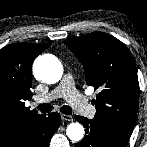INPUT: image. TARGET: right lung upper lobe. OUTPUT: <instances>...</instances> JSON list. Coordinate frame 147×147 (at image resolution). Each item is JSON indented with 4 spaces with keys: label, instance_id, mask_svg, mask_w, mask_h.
<instances>
[{
    "label": "right lung upper lobe",
    "instance_id": "right-lung-upper-lobe-1",
    "mask_svg": "<svg viewBox=\"0 0 147 147\" xmlns=\"http://www.w3.org/2000/svg\"><path fill=\"white\" fill-rule=\"evenodd\" d=\"M49 46L14 43L0 50V141L42 116L24 101L32 97V63Z\"/></svg>",
    "mask_w": 147,
    "mask_h": 147
}]
</instances>
